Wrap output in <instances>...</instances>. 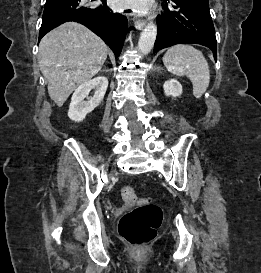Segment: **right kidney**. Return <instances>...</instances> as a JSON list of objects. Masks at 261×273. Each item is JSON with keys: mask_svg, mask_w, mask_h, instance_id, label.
I'll use <instances>...</instances> for the list:
<instances>
[{"mask_svg": "<svg viewBox=\"0 0 261 273\" xmlns=\"http://www.w3.org/2000/svg\"><path fill=\"white\" fill-rule=\"evenodd\" d=\"M107 87L108 79L104 76H98L82 83L72 95L68 117L75 122L83 121L86 115L101 103ZM92 89H95L94 96L84 101Z\"/></svg>", "mask_w": 261, "mask_h": 273, "instance_id": "ca27d5eb", "label": "right kidney"}]
</instances>
